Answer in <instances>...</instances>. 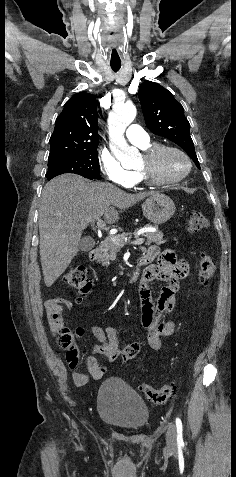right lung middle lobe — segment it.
<instances>
[{"instance_id": "dd1d6c3e", "label": "right lung middle lobe", "mask_w": 236, "mask_h": 477, "mask_svg": "<svg viewBox=\"0 0 236 477\" xmlns=\"http://www.w3.org/2000/svg\"><path fill=\"white\" fill-rule=\"evenodd\" d=\"M97 147L80 149L75 153L48 161L46 177L51 180L64 173L80 175L87 179H100Z\"/></svg>"}]
</instances>
